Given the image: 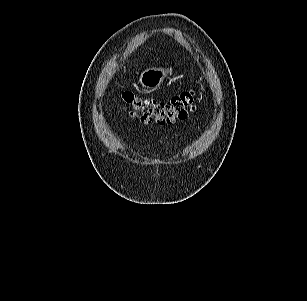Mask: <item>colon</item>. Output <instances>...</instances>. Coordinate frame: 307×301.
I'll return each mask as SVG.
<instances>
[{
	"label": "colon",
	"instance_id": "colon-1",
	"mask_svg": "<svg viewBox=\"0 0 307 301\" xmlns=\"http://www.w3.org/2000/svg\"><path fill=\"white\" fill-rule=\"evenodd\" d=\"M122 100L131 116L144 123L165 125L185 119L194 111L196 90H185L167 100L140 98L125 92L122 94Z\"/></svg>",
	"mask_w": 307,
	"mask_h": 301
}]
</instances>
